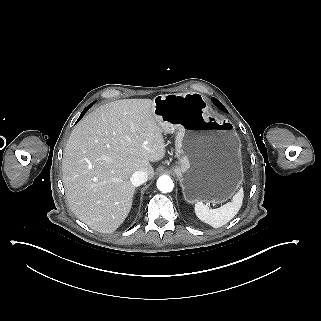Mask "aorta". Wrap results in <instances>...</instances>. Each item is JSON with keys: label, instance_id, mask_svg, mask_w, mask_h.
<instances>
[{"label": "aorta", "instance_id": "762f6f07", "mask_svg": "<svg viewBox=\"0 0 321 321\" xmlns=\"http://www.w3.org/2000/svg\"><path fill=\"white\" fill-rule=\"evenodd\" d=\"M174 184L172 179L167 176V175H163L161 177L158 178L157 180V188L163 192H171L173 190Z\"/></svg>", "mask_w": 321, "mask_h": 321}]
</instances>
